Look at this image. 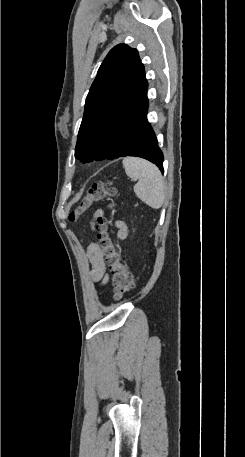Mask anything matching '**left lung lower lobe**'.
<instances>
[{
	"mask_svg": "<svg viewBox=\"0 0 245 457\" xmlns=\"http://www.w3.org/2000/svg\"><path fill=\"white\" fill-rule=\"evenodd\" d=\"M148 101L137 111L118 114L105 127L98 128L81 143L76 158L81 162L94 159L141 157L154 163L163 173V153L147 120Z\"/></svg>",
	"mask_w": 245,
	"mask_h": 457,
	"instance_id": "1",
	"label": "left lung lower lobe"
}]
</instances>
